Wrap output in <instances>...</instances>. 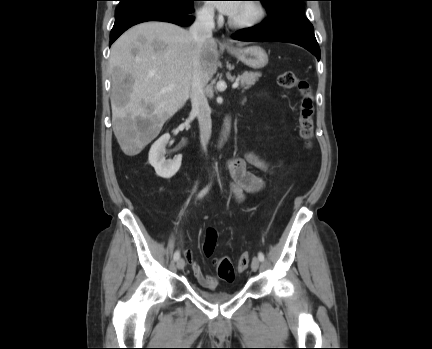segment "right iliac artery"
<instances>
[{
  "instance_id": "82829eb1",
  "label": "right iliac artery",
  "mask_w": 432,
  "mask_h": 349,
  "mask_svg": "<svg viewBox=\"0 0 432 349\" xmlns=\"http://www.w3.org/2000/svg\"><path fill=\"white\" fill-rule=\"evenodd\" d=\"M208 191V187L204 188L198 195L199 198L203 197ZM180 258V252L176 251L174 253V260L177 261Z\"/></svg>"
}]
</instances>
